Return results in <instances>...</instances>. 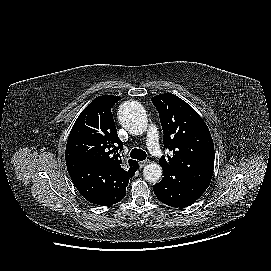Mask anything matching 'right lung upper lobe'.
<instances>
[{
  "label": "right lung upper lobe",
  "instance_id": "obj_1",
  "mask_svg": "<svg viewBox=\"0 0 271 271\" xmlns=\"http://www.w3.org/2000/svg\"><path fill=\"white\" fill-rule=\"evenodd\" d=\"M120 96L103 95L95 98L78 116L66 144L65 159L89 163L122 171L132 176L138 162L129 160L127 167L119 158L123 143L118 137L111 108Z\"/></svg>",
  "mask_w": 271,
  "mask_h": 271
}]
</instances>
